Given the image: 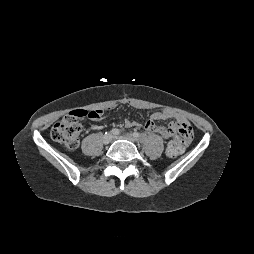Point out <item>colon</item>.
Wrapping results in <instances>:
<instances>
[{
	"mask_svg": "<svg viewBox=\"0 0 254 254\" xmlns=\"http://www.w3.org/2000/svg\"><path fill=\"white\" fill-rule=\"evenodd\" d=\"M99 117L100 110H76L53 125L51 137L67 149H75L78 146L79 136L82 130L81 121L85 118L96 119ZM177 132L179 136L172 140L167 147V154L171 157L177 156L183 151L184 146L189 143L192 135V129L188 124L178 125Z\"/></svg>",
	"mask_w": 254,
	"mask_h": 254,
	"instance_id": "5ec220e1",
	"label": "colon"
}]
</instances>
